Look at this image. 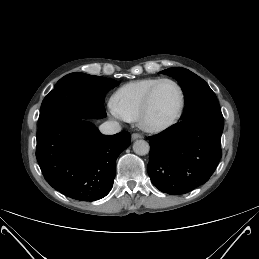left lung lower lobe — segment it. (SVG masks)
Wrapping results in <instances>:
<instances>
[{"instance_id": "left-lung-lower-lobe-1", "label": "left lung lower lobe", "mask_w": 259, "mask_h": 259, "mask_svg": "<svg viewBox=\"0 0 259 259\" xmlns=\"http://www.w3.org/2000/svg\"><path fill=\"white\" fill-rule=\"evenodd\" d=\"M223 127L221 111L206 112L149 137L148 174L153 185L182 195L207 182L222 157Z\"/></svg>"}]
</instances>
